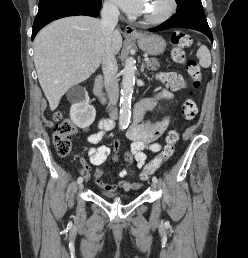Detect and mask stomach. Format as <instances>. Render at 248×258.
Segmentation results:
<instances>
[{
	"label": "stomach",
	"mask_w": 248,
	"mask_h": 258,
	"mask_svg": "<svg viewBox=\"0 0 248 258\" xmlns=\"http://www.w3.org/2000/svg\"><path fill=\"white\" fill-rule=\"evenodd\" d=\"M134 39L139 48L150 55H160L165 51L166 41L159 35H139Z\"/></svg>",
	"instance_id": "stomach-1"
}]
</instances>
